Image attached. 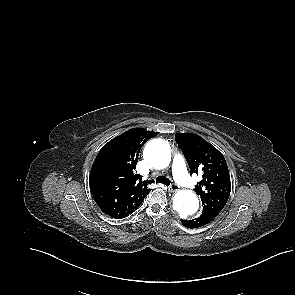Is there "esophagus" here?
Masks as SVG:
<instances>
[{
	"mask_svg": "<svg viewBox=\"0 0 295 295\" xmlns=\"http://www.w3.org/2000/svg\"><path fill=\"white\" fill-rule=\"evenodd\" d=\"M179 189H178V187L176 186V185H170L169 187H168V191L169 192H171V193H174V192H176V191H178Z\"/></svg>",
	"mask_w": 295,
	"mask_h": 295,
	"instance_id": "esophagus-1",
	"label": "esophagus"
}]
</instances>
